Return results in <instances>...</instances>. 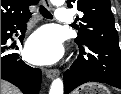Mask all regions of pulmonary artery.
Returning <instances> with one entry per match:
<instances>
[{"instance_id": "pulmonary-artery-1", "label": "pulmonary artery", "mask_w": 121, "mask_h": 94, "mask_svg": "<svg viewBox=\"0 0 121 94\" xmlns=\"http://www.w3.org/2000/svg\"><path fill=\"white\" fill-rule=\"evenodd\" d=\"M56 19L60 22H69L71 20L69 10L66 8H59L56 12Z\"/></svg>"}]
</instances>
